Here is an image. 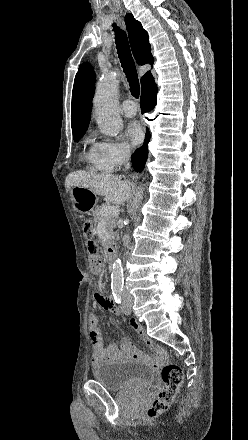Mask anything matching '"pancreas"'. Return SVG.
I'll list each match as a JSON object with an SVG mask.
<instances>
[{
    "label": "pancreas",
    "instance_id": "obj_1",
    "mask_svg": "<svg viewBox=\"0 0 248 440\" xmlns=\"http://www.w3.org/2000/svg\"><path fill=\"white\" fill-rule=\"evenodd\" d=\"M108 205L104 204L100 207H98L93 215L95 217L96 221H104L107 224L108 229L112 232L113 228L116 226V219L114 217H107L102 215V211L104 208H106Z\"/></svg>",
    "mask_w": 248,
    "mask_h": 440
}]
</instances>
